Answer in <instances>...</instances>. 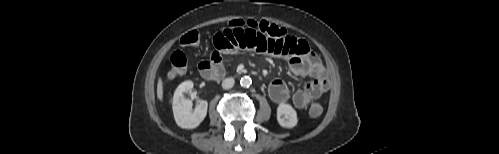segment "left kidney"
Masks as SVG:
<instances>
[{
  "label": "left kidney",
  "mask_w": 499,
  "mask_h": 154,
  "mask_svg": "<svg viewBox=\"0 0 499 154\" xmlns=\"http://www.w3.org/2000/svg\"><path fill=\"white\" fill-rule=\"evenodd\" d=\"M277 121L284 128L295 127L298 123L295 109L290 104H279L277 108Z\"/></svg>",
  "instance_id": "5707ae66"
}]
</instances>
